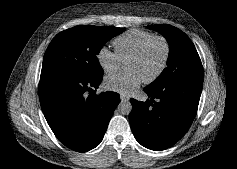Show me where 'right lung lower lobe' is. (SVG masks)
<instances>
[{
	"label": "right lung lower lobe",
	"instance_id": "right-lung-lower-lobe-1",
	"mask_svg": "<svg viewBox=\"0 0 237 169\" xmlns=\"http://www.w3.org/2000/svg\"><path fill=\"white\" fill-rule=\"evenodd\" d=\"M102 78L41 72L39 98L44 116L59 141L74 151L86 152L99 145L120 102L118 93H93Z\"/></svg>",
	"mask_w": 237,
	"mask_h": 169
}]
</instances>
